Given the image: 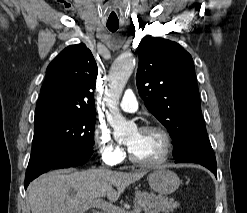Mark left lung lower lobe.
Segmentation results:
<instances>
[{
  "label": "left lung lower lobe",
  "mask_w": 247,
  "mask_h": 213,
  "mask_svg": "<svg viewBox=\"0 0 247 213\" xmlns=\"http://www.w3.org/2000/svg\"><path fill=\"white\" fill-rule=\"evenodd\" d=\"M174 156L176 163L193 162L201 164L217 177L215 154L207 134L194 135L187 145Z\"/></svg>",
  "instance_id": "obj_1"
}]
</instances>
